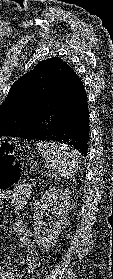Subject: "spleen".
Returning a JSON list of instances; mask_svg holds the SVG:
<instances>
[{"mask_svg":"<svg viewBox=\"0 0 113 279\" xmlns=\"http://www.w3.org/2000/svg\"><path fill=\"white\" fill-rule=\"evenodd\" d=\"M41 152L45 166L55 170L64 180L72 178L80 168L81 154L65 144L39 141L35 144Z\"/></svg>","mask_w":113,"mask_h":279,"instance_id":"obj_1","label":"spleen"}]
</instances>
